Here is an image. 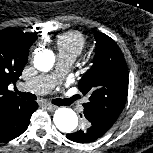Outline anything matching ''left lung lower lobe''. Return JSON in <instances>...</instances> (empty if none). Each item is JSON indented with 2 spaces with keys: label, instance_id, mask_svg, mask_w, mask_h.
Wrapping results in <instances>:
<instances>
[{
  "label": "left lung lower lobe",
  "instance_id": "1",
  "mask_svg": "<svg viewBox=\"0 0 153 153\" xmlns=\"http://www.w3.org/2000/svg\"><path fill=\"white\" fill-rule=\"evenodd\" d=\"M104 134L94 128L88 127L85 130H79L75 133L67 134L66 137L77 143H90L96 141Z\"/></svg>",
  "mask_w": 153,
  "mask_h": 153
}]
</instances>
